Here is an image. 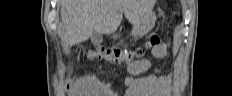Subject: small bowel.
Returning a JSON list of instances; mask_svg holds the SVG:
<instances>
[{"label": "small bowel", "mask_w": 232, "mask_h": 96, "mask_svg": "<svg viewBox=\"0 0 232 96\" xmlns=\"http://www.w3.org/2000/svg\"><path fill=\"white\" fill-rule=\"evenodd\" d=\"M164 50L166 44L161 46ZM154 53L155 50L153 49ZM147 62H137L131 65L133 70H144ZM171 81V76L166 74H151L138 78L130 77L127 79L128 95L129 96H148V95H169L168 84Z\"/></svg>", "instance_id": "small-bowel-1"}]
</instances>
